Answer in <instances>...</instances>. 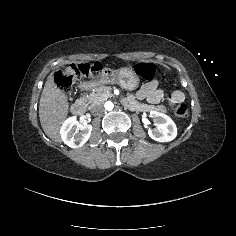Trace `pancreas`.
I'll use <instances>...</instances> for the list:
<instances>
[{"mask_svg": "<svg viewBox=\"0 0 236 236\" xmlns=\"http://www.w3.org/2000/svg\"><path fill=\"white\" fill-rule=\"evenodd\" d=\"M109 97H112L111 88L107 86H100L96 87L90 94L81 97L80 101L82 103H86L89 107H92L95 104L103 103ZM120 102L124 108L129 109L130 111L143 112L150 111L155 108L152 105L139 103L131 94H128L127 97L122 98ZM156 109L164 113L166 112L165 106L163 105L157 106Z\"/></svg>", "mask_w": 236, "mask_h": 236, "instance_id": "cf45deb5", "label": "pancreas"}]
</instances>
